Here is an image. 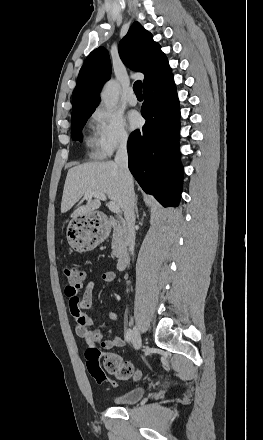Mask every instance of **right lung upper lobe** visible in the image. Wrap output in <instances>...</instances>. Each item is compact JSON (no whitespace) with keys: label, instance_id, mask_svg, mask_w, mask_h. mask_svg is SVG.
<instances>
[{"label":"right lung upper lobe","instance_id":"cb5924a9","mask_svg":"<svg viewBox=\"0 0 263 440\" xmlns=\"http://www.w3.org/2000/svg\"><path fill=\"white\" fill-rule=\"evenodd\" d=\"M119 54L131 69L145 75L144 89L171 73L169 63L160 45L151 33L135 22L120 41ZM111 62L106 48L99 47L86 58L78 75L73 94L72 117L94 112L99 104V92L110 78Z\"/></svg>","mask_w":263,"mask_h":440}]
</instances>
